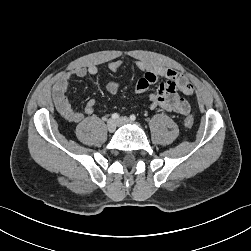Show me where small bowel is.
Segmentation results:
<instances>
[{"instance_id":"c3829d8e","label":"small bowel","mask_w":251,"mask_h":251,"mask_svg":"<svg viewBox=\"0 0 251 251\" xmlns=\"http://www.w3.org/2000/svg\"><path fill=\"white\" fill-rule=\"evenodd\" d=\"M135 67L143 72V76L137 81L135 85V92L142 94L148 88L154 85L160 78L166 79L162 82L157 91L151 93L148 97L149 107L151 109L162 108L168 112H174L180 115H186L190 111L188 101L183 98L180 93L184 95H192L194 87L188 78L181 72L164 67L162 65L138 60L134 62ZM122 66L121 61H112L108 64V69L112 72L117 71ZM98 73V67L90 65L88 67H79L72 73L62 75L53 87V100L58 113L69 122H79L86 116L93 113L95 107V100L89 99L82 109H76L70 102L67 92L70 86V78L72 75L85 78L87 76H95ZM119 84L116 81H109L106 84V90L110 94L117 93Z\"/></svg>"}]
</instances>
